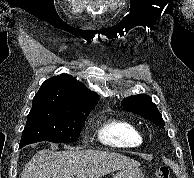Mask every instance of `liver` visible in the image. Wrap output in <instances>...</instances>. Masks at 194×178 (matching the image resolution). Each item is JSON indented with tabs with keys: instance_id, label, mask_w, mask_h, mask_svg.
Here are the masks:
<instances>
[{
	"instance_id": "6515ba94",
	"label": "liver",
	"mask_w": 194,
	"mask_h": 178,
	"mask_svg": "<svg viewBox=\"0 0 194 178\" xmlns=\"http://www.w3.org/2000/svg\"><path fill=\"white\" fill-rule=\"evenodd\" d=\"M120 153L99 150H41L25 165L21 178H100L114 171L138 168Z\"/></svg>"
}]
</instances>
